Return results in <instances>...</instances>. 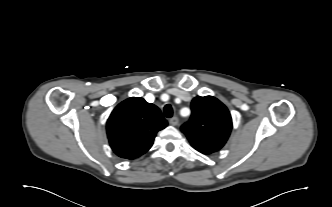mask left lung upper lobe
Segmentation results:
<instances>
[{
    "instance_id": "5c2ea615",
    "label": "left lung upper lobe",
    "mask_w": 332,
    "mask_h": 207,
    "mask_svg": "<svg viewBox=\"0 0 332 207\" xmlns=\"http://www.w3.org/2000/svg\"><path fill=\"white\" fill-rule=\"evenodd\" d=\"M191 110L189 122L181 127L191 145L203 154L220 150L232 129L226 106L213 96H197L192 100Z\"/></svg>"
}]
</instances>
